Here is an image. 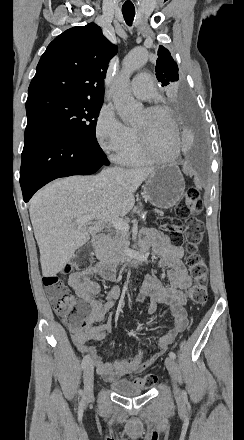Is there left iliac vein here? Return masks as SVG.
Masks as SVG:
<instances>
[{
  "label": "left iliac vein",
  "mask_w": 244,
  "mask_h": 440,
  "mask_svg": "<svg viewBox=\"0 0 244 440\" xmlns=\"http://www.w3.org/2000/svg\"><path fill=\"white\" fill-rule=\"evenodd\" d=\"M165 364H166L167 370H168V372L171 375L172 380H173V385H174L173 393H174V396L176 398L181 399V391H180V389L176 385V376H177V373H178L177 364H176L175 360L170 358V357H167L165 359Z\"/></svg>",
  "instance_id": "obj_1"
}]
</instances>
